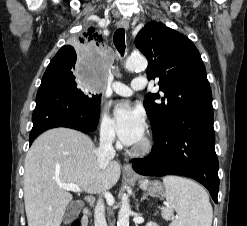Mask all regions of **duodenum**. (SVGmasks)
Wrapping results in <instances>:
<instances>
[{
	"mask_svg": "<svg viewBox=\"0 0 247 226\" xmlns=\"http://www.w3.org/2000/svg\"><path fill=\"white\" fill-rule=\"evenodd\" d=\"M90 215V210L89 208L85 207L82 209L81 211V222H82V226H87L88 224V217Z\"/></svg>",
	"mask_w": 247,
	"mask_h": 226,
	"instance_id": "duodenum-1",
	"label": "duodenum"
}]
</instances>
